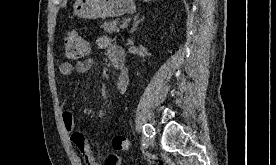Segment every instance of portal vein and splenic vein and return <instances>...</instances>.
<instances>
[{"instance_id":"portal-vein-and-splenic-vein-1","label":"portal vein and splenic vein","mask_w":276,"mask_h":165,"mask_svg":"<svg viewBox=\"0 0 276 165\" xmlns=\"http://www.w3.org/2000/svg\"><path fill=\"white\" fill-rule=\"evenodd\" d=\"M127 26H128V22L127 21H125V22H123L121 24V28H126Z\"/></svg>"}]
</instances>
